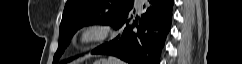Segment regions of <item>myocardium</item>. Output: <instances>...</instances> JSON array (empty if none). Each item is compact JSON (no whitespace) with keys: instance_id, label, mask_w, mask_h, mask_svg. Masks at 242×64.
<instances>
[{"instance_id":"myocardium-1","label":"myocardium","mask_w":242,"mask_h":64,"mask_svg":"<svg viewBox=\"0 0 242 64\" xmlns=\"http://www.w3.org/2000/svg\"><path fill=\"white\" fill-rule=\"evenodd\" d=\"M111 27L103 23H92L82 27L75 36L79 47H88L104 42L111 34Z\"/></svg>"}]
</instances>
